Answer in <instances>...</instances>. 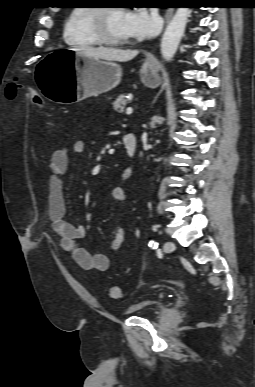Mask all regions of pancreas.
Segmentation results:
<instances>
[{"instance_id": "pancreas-1", "label": "pancreas", "mask_w": 255, "mask_h": 387, "mask_svg": "<svg viewBox=\"0 0 255 387\" xmlns=\"http://www.w3.org/2000/svg\"><path fill=\"white\" fill-rule=\"evenodd\" d=\"M128 104V100L125 99V95L124 94H121L119 95L114 103H113V109L115 111H118L120 113H122L125 109V106Z\"/></svg>"}]
</instances>
